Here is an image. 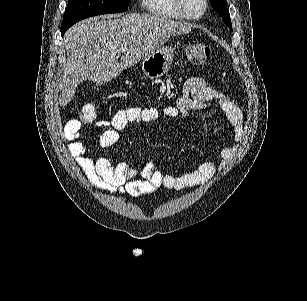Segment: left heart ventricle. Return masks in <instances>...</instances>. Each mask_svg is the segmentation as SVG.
Returning a JSON list of instances; mask_svg holds the SVG:
<instances>
[{"instance_id":"left-heart-ventricle-1","label":"left heart ventricle","mask_w":307,"mask_h":301,"mask_svg":"<svg viewBox=\"0 0 307 301\" xmlns=\"http://www.w3.org/2000/svg\"><path fill=\"white\" fill-rule=\"evenodd\" d=\"M184 2L188 3V11L187 13H198V6H194L198 4V0H185Z\"/></svg>"}]
</instances>
